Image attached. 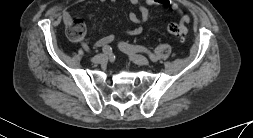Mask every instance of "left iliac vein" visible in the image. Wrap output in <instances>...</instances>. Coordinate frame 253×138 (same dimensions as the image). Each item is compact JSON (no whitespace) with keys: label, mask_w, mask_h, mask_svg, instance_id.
Instances as JSON below:
<instances>
[{"label":"left iliac vein","mask_w":253,"mask_h":138,"mask_svg":"<svg viewBox=\"0 0 253 138\" xmlns=\"http://www.w3.org/2000/svg\"><path fill=\"white\" fill-rule=\"evenodd\" d=\"M121 50L124 53H126L128 56H130L135 61V63H137L139 65H148L149 60L145 56H143L137 52H133V51L124 49V48H121Z\"/></svg>","instance_id":"obj_1"}]
</instances>
